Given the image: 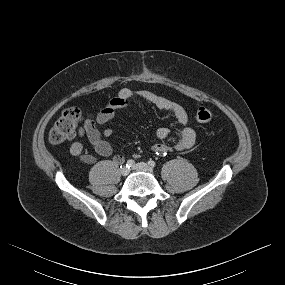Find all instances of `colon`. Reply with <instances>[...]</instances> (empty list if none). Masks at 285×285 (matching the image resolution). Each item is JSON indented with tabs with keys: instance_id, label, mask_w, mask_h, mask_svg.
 Returning <instances> with one entry per match:
<instances>
[{
	"instance_id": "obj_1",
	"label": "colon",
	"mask_w": 285,
	"mask_h": 285,
	"mask_svg": "<svg viewBox=\"0 0 285 285\" xmlns=\"http://www.w3.org/2000/svg\"><path fill=\"white\" fill-rule=\"evenodd\" d=\"M213 117V112L206 107L198 108L195 114V118L199 123H208ZM82 120V112L77 107L65 109L51 127L49 131V141L52 144H61L73 138Z\"/></svg>"
}]
</instances>
